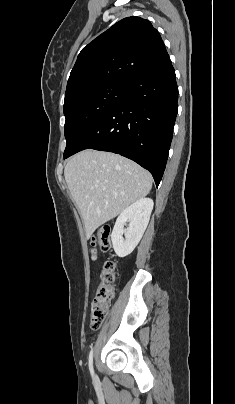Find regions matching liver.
I'll return each mask as SVG.
<instances>
[{
    "label": "liver",
    "instance_id": "liver-1",
    "mask_svg": "<svg viewBox=\"0 0 235 404\" xmlns=\"http://www.w3.org/2000/svg\"><path fill=\"white\" fill-rule=\"evenodd\" d=\"M64 176L84 223L87 238L152 188L151 174L110 152L84 150L66 164Z\"/></svg>",
    "mask_w": 235,
    "mask_h": 404
}]
</instances>
